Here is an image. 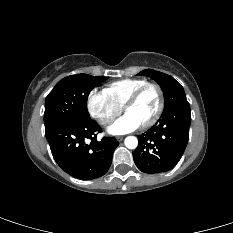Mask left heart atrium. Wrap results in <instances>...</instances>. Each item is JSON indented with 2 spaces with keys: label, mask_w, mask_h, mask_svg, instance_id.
<instances>
[{
  "label": "left heart atrium",
  "mask_w": 233,
  "mask_h": 233,
  "mask_svg": "<svg viewBox=\"0 0 233 233\" xmlns=\"http://www.w3.org/2000/svg\"><path fill=\"white\" fill-rule=\"evenodd\" d=\"M140 126L141 123L133 115L125 113L109 126L108 132L113 135H122L132 132Z\"/></svg>",
  "instance_id": "1"
}]
</instances>
